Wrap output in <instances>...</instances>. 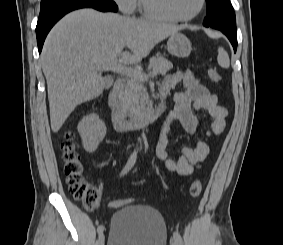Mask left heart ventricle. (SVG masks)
I'll use <instances>...</instances> for the list:
<instances>
[{"instance_id":"obj_1","label":"left heart ventricle","mask_w":283,"mask_h":245,"mask_svg":"<svg viewBox=\"0 0 283 245\" xmlns=\"http://www.w3.org/2000/svg\"><path fill=\"white\" fill-rule=\"evenodd\" d=\"M151 5L162 13L172 17H185L193 14L200 0H149Z\"/></svg>"}]
</instances>
